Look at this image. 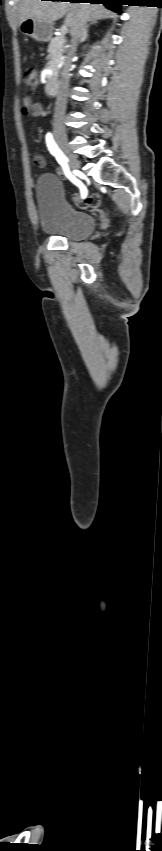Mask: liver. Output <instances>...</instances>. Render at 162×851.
<instances>
[{"label":"liver","instance_id":"6515ba94","mask_svg":"<svg viewBox=\"0 0 162 851\" xmlns=\"http://www.w3.org/2000/svg\"><path fill=\"white\" fill-rule=\"evenodd\" d=\"M18 12L19 24L28 18L53 23L66 15L65 25L69 27L70 32L75 27L81 13L86 16L87 21L114 16L111 11L100 4L41 0H21Z\"/></svg>","mask_w":162,"mask_h":851}]
</instances>
